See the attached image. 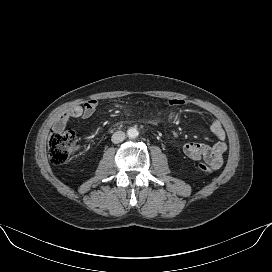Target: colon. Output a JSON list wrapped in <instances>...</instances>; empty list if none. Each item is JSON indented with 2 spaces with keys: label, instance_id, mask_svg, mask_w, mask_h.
<instances>
[{
  "label": "colon",
  "instance_id": "colon-1",
  "mask_svg": "<svg viewBox=\"0 0 272 272\" xmlns=\"http://www.w3.org/2000/svg\"><path fill=\"white\" fill-rule=\"evenodd\" d=\"M77 144V137L72 131H52L48 138V152L52 163L63 165L70 161ZM198 168L203 173H211L212 168L208 164L200 163Z\"/></svg>",
  "mask_w": 272,
  "mask_h": 272
}]
</instances>
